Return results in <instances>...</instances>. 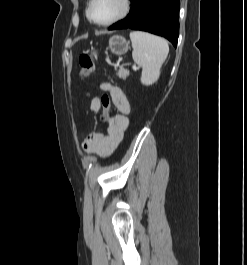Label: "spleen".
Listing matches in <instances>:
<instances>
[{"instance_id":"spleen-1","label":"spleen","mask_w":247,"mask_h":265,"mask_svg":"<svg viewBox=\"0 0 247 265\" xmlns=\"http://www.w3.org/2000/svg\"><path fill=\"white\" fill-rule=\"evenodd\" d=\"M130 39L133 47V60L142 67V84L151 85L155 83L169 53L167 41L143 31L131 32Z\"/></svg>"}]
</instances>
